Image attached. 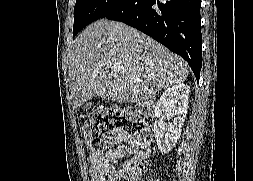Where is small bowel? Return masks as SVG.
Returning a JSON list of instances; mask_svg holds the SVG:
<instances>
[{
	"label": "small bowel",
	"instance_id": "obj_1",
	"mask_svg": "<svg viewBox=\"0 0 253 181\" xmlns=\"http://www.w3.org/2000/svg\"><path fill=\"white\" fill-rule=\"evenodd\" d=\"M131 154L129 145H120L116 149H109L104 152H92L89 155L90 174L92 181H111L118 173L116 163L120 158L128 157Z\"/></svg>",
	"mask_w": 253,
	"mask_h": 181
}]
</instances>
